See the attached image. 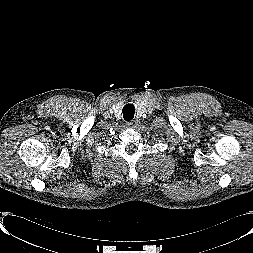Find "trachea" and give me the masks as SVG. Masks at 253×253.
Listing matches in <instances>:
<instances>
[{"instance_id":"obj_1","label":"trachea","mask_w":253,"mask_h":253,"mask_svg":"<svg viewBox=\"0 0 253 253\" xmlns=\"http://www.w3.org/2000/svg\"><path fill=\"white\" fill-rule=\"evenodd\" d=\"M123 118L126 121L132 120L134 118L135 107L133 104H127L123 107Z\"/></svg>"}]
</instances>
